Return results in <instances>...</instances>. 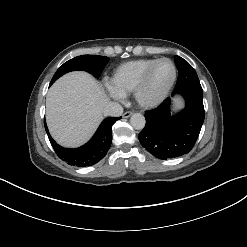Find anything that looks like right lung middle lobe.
Masks as SVG:
<instances>
[{"label":"right lung middle lobe","mask_w":247,"mask_h":247,"mask_svg":"<svg viewBox=\"0 0 247 247\" xmlns=\"http://www.w3.org/2000/svg\"><path fill=\"white\" fill-rule=\"evenodd\" d=\"M109 58L96 55H82L65 62L55 73L51 82L56 81L63 74L74 71L83 70L93 74L96 78L102 73L103 68L108 63Z\"/></svg>","instance_id":"obj_1"}]
</instances>
